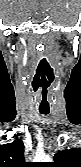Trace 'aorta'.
<instances>
[{
    "label": "aorta",
    "mask_w": 81,
    "mask_h": 167,
    "mask_svg": "<svg viewBox=\"0 0 81 167\" xmlns=\"http://www.w3.org/2000/svg\"><path fill=\"white\" fill-rule=\"evenodd\" d=\"M35 160L37 162H49L51 160V158L47 155H37L35 157Z\"/></svg>",
    "instance_id": "obj_1"
}]
</instances>
